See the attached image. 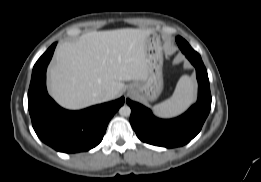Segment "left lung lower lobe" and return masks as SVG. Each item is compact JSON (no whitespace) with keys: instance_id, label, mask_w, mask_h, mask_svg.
<instances>
[{"instance_id":"obj_1","label":"left lung lower lobe","mask_w":261,"mask_h":182,"mask_svg":"<svg viewBox=\"0 0 261 182\" xmlns=\"http://www.w3.org/2000/svg\"><path fill=\"white\" fill-rule=\"evenodd\" d=\"M196 68L198 100L183 115L170 120L155 117L143 105L127 100L131 107L130 123L138 138L148 144L173 148L190 142L201 130L211 108V93L207 70L195 51H182Z\"/></svg>"}]
</instances>
